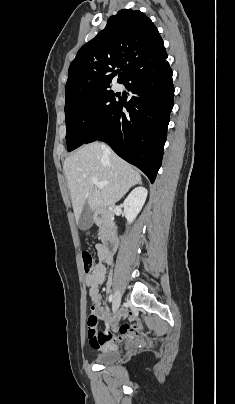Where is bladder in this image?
Returning <instances> with one entry per match:
<instances>
[{
  "label": "bladder",
  "instance_id": "1",
  "mask_svg": "<svg viewBox=\"0 0 235 404\" xmlns=\"http://www.w3.org/2000/svg\"><path fill=\"white\" fill-rule=\"evenodd\" d=\"M120 359V351L114 350H106L102 351L95 357V362L102 365H110L118 362Z\"/></svg>",
  "mask_w": 235,
  "mask_h": 404
}]
</instances>
